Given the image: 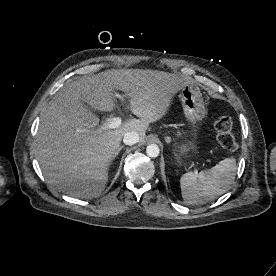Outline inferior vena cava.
Wrapping results in <instances>:
<instances>
[{"mask_svg":"<svg viewBox=\"0 0 276 276\" xmlns=\"http://www.w3.org/2000/svg\"><path fill=\"white\" fill-rule=\"evenodd\" d=\"M139 134L135 131H130V132H127L125 133L124 137H123V142L126 144V145H134L136 143L139 142Z\"/></svg>","mask_w":276,"mask_h":276,"instance_id":"602c4592","label":"inferior vena cava"}]
</instances>
